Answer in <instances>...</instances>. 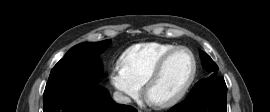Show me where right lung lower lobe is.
<instances>
[{
    "mask_svg": "<svg viewBox=\"0 0 270 112\" xmlns=\"http://www.w3.org/2000/svg\"><path fill=\"white\" fill-rule=\"evenodd\" d=\"M43 99L44 112H137L131 106L116 104L99 84H47Z\"/></svg>",
    "mask_w": 270,
    "mask_h": 112,
    "instance_id": "right-lung-lower-lobe-1",
    "label": "right lung lower lobe"
}]
</instances>
